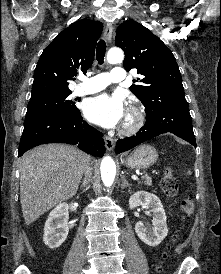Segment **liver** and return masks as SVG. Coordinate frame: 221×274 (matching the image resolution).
<instances>
[{
    "mask_svg": "<svg viewBox=\"0 0 221 274\" xmlns=\"http://www.w3.org/2000/svg\"><path fill=\"white\" fill-rule=\"evenodd\" d=\"M90 157L73 146L46 144L26 152L20 162V202L30 225L57 204L72 198Z\"/></svg>",
    "mask_w": 221,
    "mask_h": 274,
    "instance_id": "6515ba94",
    "label": "liver"
}]
</instances>
